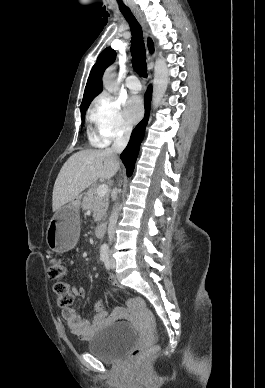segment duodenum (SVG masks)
<instances>
[{"mask_svg": "<svg viewBox=\"0 0 265 388\" xmlns=\"http://www.w3.org/2000/svg\"><path fill=\"white\" fill-rule=\"evenodd\" d=\"M105 231H106V223L102 222V223L98 224V226L96 227L95 234L97 237L101 238L104 236Z\"/></svg>", "mask_w": 265, "mask_h": 388, "instance_id": "410a0bca", "label": "duodenum"}]
</instances>
